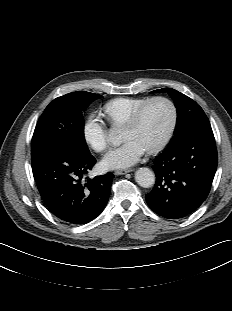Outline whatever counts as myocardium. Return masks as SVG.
I'll list each match as a JSON object with an SVG mask.
<instances>
[{
	"instance_id": "1",
	"label": "myocardium",
	"mask_w": 232,
	"mask_h": 311,
	"mask_svg": "<svg viewBox=\"0 0 232 311\" xmlns=\"http://www.w3.org/2000/svg\"><path fill=\"white\" fill-rule=\"evenodd\" d=\"M160 101L165 102L169 105L170 110H171V120H170L168 129L166 133L164 134V136L162 137V139L157 144L147 149V151L150 153H155L163 149L167 145V143L170 141L175 131L176 124H177V118H178V112H177L176 105L171 99L167 97H163V96L150 98L133 113L131 118L128 120V122L123 127L124 129H131V128L136 127L141 121L144 113L149 108V106L155 102H160Z\"/></svg>"
}]
</instances>
